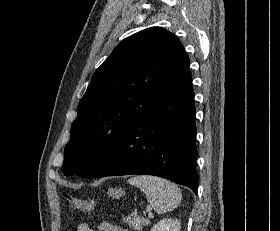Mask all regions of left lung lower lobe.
<instances>
[{"instance_id":"left-lung-lower-lobe-1","label":"left lung lower lobe","mask_w":280,"mask_h":231,"mask_svg":"<svg viewBox=\"0 0 280 231\" xmlns=\"http://www.w3.org/2000/svg\"><path fill=\"white\" fill-rule=\"evenodd\" d=\"M195 112L190 75L116 141L91 178L154 175L186 185L197 194Z\"/></svg>"}]
</instances>
